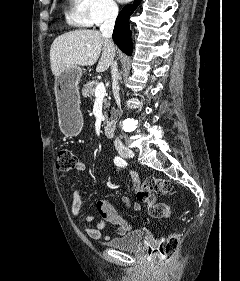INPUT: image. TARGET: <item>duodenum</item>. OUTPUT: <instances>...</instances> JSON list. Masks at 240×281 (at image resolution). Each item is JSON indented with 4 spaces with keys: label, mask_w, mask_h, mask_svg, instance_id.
Here are the masks:
<instances>
[{
    "label": "duodenum",
    "mask_w": 240,
    "mask_h": 281,
    "mask_svg": "<svg viewBox=\"0 0 240 281\" xmlns=\"http://www.w3.org/2000/svg\"><path fill=\"white\" fill-rule=\"evenodd\" d=\"M104 133L107 137H113L115 132V124L111 120H107L103 125Z\"/></svg>",
    "instance_id": "410a0bca"
}]
</instances>
